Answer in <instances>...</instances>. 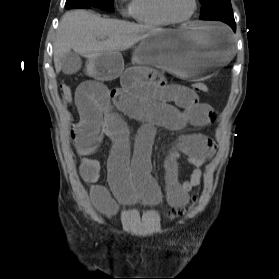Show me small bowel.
Listing matches in <instances>:
<instances>
[{
  "instance_id": "obj_1",
  "label": "small bowel",
  "mask_w": 279,
  "mask_h": 279,
  "mask_svg": "<svg viewBox=\"0 0 279 279\" xmlns=\"http://www.w3.org/2000/svg\"><path fill=\"white\" fill-rule=\"evenodd\" d=\"M74 101L79 118L71 126V138L77 153L83 157L79 174L89 185L95 207L106 214L117 211L116 200L127 205L138 199L149 205L161 201L162 193L151 175L150 162L158 128L201 127L212 123L215 117L213 108L201 102L192 89L169 84L160 73L146 67L127 68L118 88L84 82L78 86ZM118 112L142 122L133 149L129 129ZM103 136L113 144L108 159V182L116 200L98 183L99 161L86 157L96 151ZM214 153L215 144L209 136L193 133L179 138L165 160V190L171 207L179 208L188 202L189 192L200 184L201 167ZM180 159L195 167L184 181L178 178Z\"/></svg>"
}]
</instances>
